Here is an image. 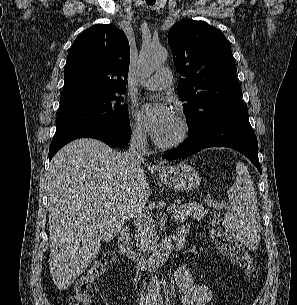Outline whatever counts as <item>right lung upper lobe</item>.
<instances>
[{
	"label": "right lung upper lobe",
	"mask_w": 297,
	"mask_h": 305,
	"mask_svg": "<svg viewBox=\"0 0 297 305\" xmlns=\"http://www.w3.org/2000/svg\"><path fill=\"white\" fill-rule=\"evenodd\" d=\"M129 61V42L123 31L109 24L86 29L69 50L60 100L125 90Z\"/></svg>",
	"instance_id": "1"
}]
</instances>
